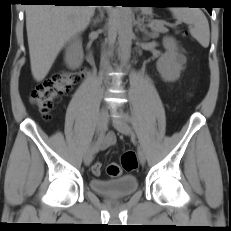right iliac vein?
Here are the masks:
<instances>
[{"label":"right iliac vein","instance_id":"63e3f726","mask_svg":"<svg viewBox=\"0 0 231 231\" xmlns=\"http://www.w3.org/2000/svg\"><path fill=\"white\" fill-rule=\"evenodd\" d=\"M105 114H106V108L103 107L97 120V126H96L97 134L104 129ZM93 155H94V148L93 146H90L84 154V163L86 166H89L91 164L93 160Z\"/></svg>","mask_w":231,"mask_h":231}]
</instances>
